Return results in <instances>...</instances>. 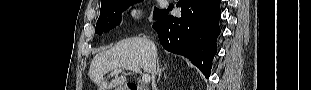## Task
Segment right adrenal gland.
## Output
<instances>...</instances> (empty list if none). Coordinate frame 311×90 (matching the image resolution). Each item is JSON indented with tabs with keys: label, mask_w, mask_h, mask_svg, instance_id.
Here are the masks:
<instances>
[{
	"label": "right adrenal gland",
	"mask_w": 311,
	"mask_h": 90,
	"mask_svg": "<svg viewBox=\"0 0 311 90\" xmlns=\"http://www.w3.org/2000/svg\"><path fill=\"white\" fill-rule=\"evenodd\" d=\"M166 69V67L160 68L159 62H157V71H158V79L157 82H159L160 77L162 75V72Z\"/></svg>",
	"instance_id": "1"
}]
</instances>
